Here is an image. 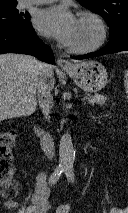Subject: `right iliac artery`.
I'll list each match as a JSON object with an SVG mask.
<instances>
[{"mask_svg": "<svg viewBox=\"0 0 128 213\" xmlns=\"http://www.w3.org/2000/svg\"><path fill=\"white\" fill-rule=\"evenodd\" d=\"M65 168V165H59V167L51 174L49 177V183L51 185L55 184L59 180L61 174L65 171Z\"/></svg>", "mask_w": 128, "mask_h": 213, "instance_id": "82829eb1", "label": "right iliac artery"}]
</instances>
